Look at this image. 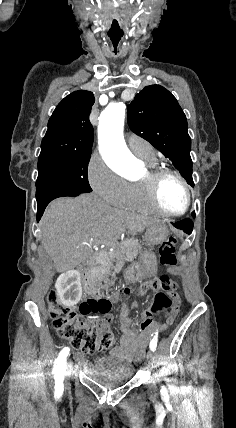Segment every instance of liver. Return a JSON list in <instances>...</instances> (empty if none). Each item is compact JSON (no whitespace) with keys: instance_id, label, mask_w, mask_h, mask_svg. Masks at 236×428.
Instances as JSON below:
<instances>
[{"instance_id":"6515ba94","label":"liver","mask_w":236,"mask_h":428,"mask_svg":"<svg viewBox=\"0 0 236 428\" xmlns=\"http://www.w3.org/2000/svg\"><path fill=\"white\" fill-rule=\"evenodd\" d=\"M156 222L148 216L115 210L96 194L57 198L42 216L41 244L57 272H66L90 258L96 244H117L125 230L136 234Z\"/></svg>"}]
</instances>
